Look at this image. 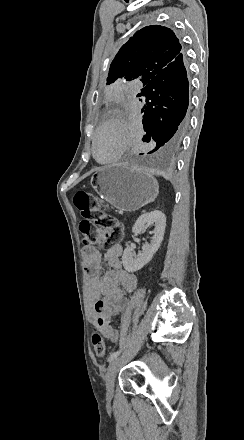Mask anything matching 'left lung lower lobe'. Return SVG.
<instances>
[{"label": "left lung lower lobe", "instance_id": "1", "mask_svg": "<svg viewBox=\"0 0 244 440\" xmlns=\"http://www.w3.org/2000/svg\"><path fill=\"white\" fill-rule=\"evenodd\" d=\"M180 56L179 63L160 71L137 94L143 104L145 134L142 140L156 141L155 148L148 154L175 151L188 131L189 83L182 53Z\"/></svg>", "mask_w": 244, "mask_h": 440}]
</instances>
